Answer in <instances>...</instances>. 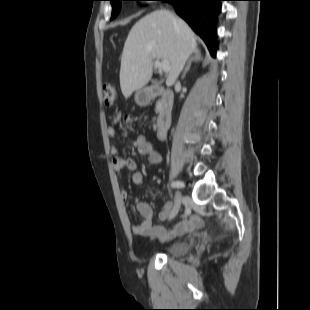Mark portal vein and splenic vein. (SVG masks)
Here are the masks:
<instances>
[{"label": "portal vein and splenic vein", "instance_id": "18ae733b", "mask_svg": "<svg viewBox=\"0 0 310 310\" xmlns=\"http://www.w3.org/2000/svg\"><path fill=\"white\" fill-rule=\"evenodd\" d=\"M154 65L157 69L165 72V73H168L169 70H170V64L167 62V61H159V60H156L154 62Z\"/></svg>", "mask_w": 310, "mask_h": 310}]
</instances>
